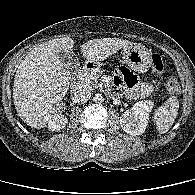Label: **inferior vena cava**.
<instances>
[{"label":"inferior vena cava","mask_w":195,"mask_h":195,"mask_svg":"<svg viewBox=\"0 0 195 195\" xmlns=\"http://www.w3.org/2000/svg\"><path fill=\"white\" fill-rule=\"evenodd\" d=\"M91 97V92L86 89H79L74 93L73 100L74 102L78 104H84L86 103Z\"/></svg>","instance_id":"obj_1"}]
</instances>
